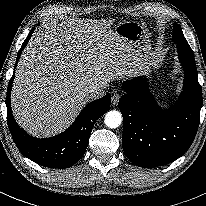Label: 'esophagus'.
Listing matches in <instances>:
<instances>
[{"label": "esophagus", "mask_w": 206, "mask_h": 206, "mask_svg": "<svg viewBox=\"0 0 206 206\" xmlns=\"http://www.w3.org/2000/svg\"><path fill=\"white\" fill-rule=\"evenodd\" d=\"M119 99H120V94L117 93V92H114L113 95H112V98H111L112 105L117 106L118 102H119Z\"/></svg>", "instance_id": "34e87169"}]
</instances>
